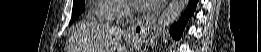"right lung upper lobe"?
<instances>
[{"label":"right lung upper lobe","mask_w":261,"mask_h":52,"mask_svg":"<svg viewBox=\"0 0 261 52\" xmlns=\"http://www.w3.org/2000/svg\"><path fill=\"white\" fill-rule=\"evenodd\" d=\"M76 1H78V0H73V3L76 2Z\"/></svg>","instance_id":"right-lung-upper-lobe-1"}]
</instances>
